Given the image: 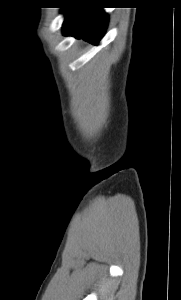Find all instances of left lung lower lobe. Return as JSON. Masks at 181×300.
I'll list each match as a JSON object with an SVG mask.
<instances>
[{"label":"left lung lower lobe","instance_id":"obj_1","mask_svg":"<svg viewBox=\"0 0 181 300\" xmlns=\"http://www.w3.org/2000/svg\"><path fill=\"white\" fill-rule=\"evenodd\" d=\"M66 13L63 33L66 36L83 38L92 44H98L107 26V15L102 7L91 3L62 7Z\"/></svg>","mask_w":181,"mask_h":300}]
</instances>
